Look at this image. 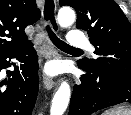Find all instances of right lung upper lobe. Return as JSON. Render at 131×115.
I'll return each instance as SVG.
<instances>
[{
  "instance_id": "right-lung-upper-lobe-1",
  "label": "right lung upper lobe",
  "mask_w": 131,
  "mask_h": 115,
  "mask_svg": "<svg viewBox=\"0 0 131 115\" xmlns=\"http://www.w3.org/2000/svg\"><path fill=\"white\" fill-rule=\"evenodd\" d=\"M40 15L35 0H0V54L28 45L24 30Z\"/></svg>"
}]
</instances>
